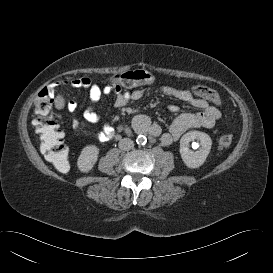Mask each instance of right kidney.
<instances>
[{
  "mask_svg": "<svg viewBox=\"0 0 273 273\" xmlns=\"http://www.w3.org/2000/svg\"><path fill=\"white\" fill-rule=\"evenodd\" d=\"M99 149L95 145L84 147L78 158V167L82 172L90 171L98 159Z\"/></svg>",
  "mask_w": 273,
  "mask_h": 273,
  "instance_id": "right-kidney-1",
  "label": "right kidney"
}]
</instances>
